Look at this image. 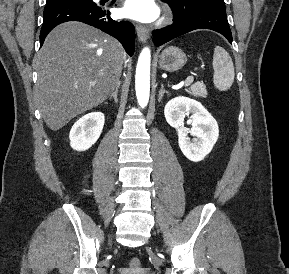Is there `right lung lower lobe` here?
I'll list each match as a JSON object with an SVG mask.
<instances>
[{"label":"right lung lower lobe","instance_id":"1","mask_svg":"<svg viewBox=\"0 0 289 274\" xmlns=\"http://www.w3.org/2000/svg\"><path fill=\"white\" fill-rule=\"evenodd\" d=\"M43 15L40 47L48 33L58 24L67 21H80L99 28L118 39L130 56L134 53L135 33L133 25L127 21L113 20L106 6L102 4L94 3L92 0H69L46 5Z\"/></svg>","mask_w":289,"mask_h":274}]
</instances>
